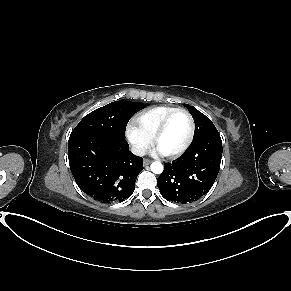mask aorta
Segmentation results:
<instances>
[{"mask_svg": "<svg viewBox=\"0 0 291 291\" xmlns=\"http://www.w3.org/2000/svg\"><path fill=\"white\" fill-rule=\"evenodd\" d=\"M151 171L155 174H161L163 171V165L160 162H153L151 164Z\"/></svg>", "mask_w": 291, "mask_h": 291, "instance_id": "1", "label": "aorta"}]
</instances>
